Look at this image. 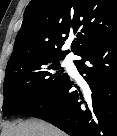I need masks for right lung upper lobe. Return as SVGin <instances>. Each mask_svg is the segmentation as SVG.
Returning a JSON list of instances; mask_svg holds the SVG:
<instances>
[{"mask_svg":"<svg viewBox=\"0 0 117 136\" xmlns=\"http://www.w3.org/2000/svg\"><path fill=\"white\" fill-rule=\"evenodd\" d=\"M117 32V0H32L26 7L9 63L36 56L63 57L69 35L80 55Z\"/></svg>","mask_w":117,"mask_h":136,"instance_id":"right-lung-upper-lobe-1","label":"right lung upper lobe"}]
</instances>
